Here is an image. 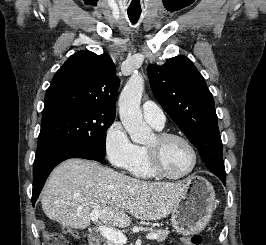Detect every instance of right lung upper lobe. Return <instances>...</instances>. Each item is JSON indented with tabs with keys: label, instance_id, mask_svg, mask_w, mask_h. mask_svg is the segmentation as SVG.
<instances>
[{
	"label": "right lung upper lobe",
	"instance_id": "cb5924a9",
	"mask_svg": "<svg viewBox=\"0 0 266 245\" xmlns=\"http://www.w3.org/2000/svg\"><path fill=\"white\" fill-rule=\"evenodd\" d=\"M119 78L107 54L79 51L63 64L46 91L43 117L76 108L115 113Z\"/></svg>",
	"mask_w": 266,
	"mask_h": 245
}]
</instances>
